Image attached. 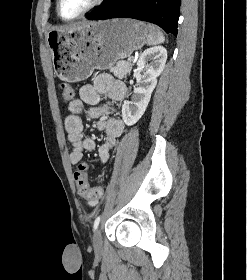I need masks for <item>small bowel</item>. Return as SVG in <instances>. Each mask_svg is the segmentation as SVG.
<instances>
[{"mask_svg":"<svg viewBox=\"0 0 247 280\" xmlns=\"http://www.w3.org/2000/svg\"><path fill=\"white\" fill-rule=\"evenodd\" d=\"M126 85L114 79L109 74H100L92 84H85L79 90V99L71 101L68 105L70 114L64 120V127L73 148L69 154L71 164L81 163L84 151L95 148V140L84 134L82 114L87 111L90 118L97 121L96 127L105 132L103 143L98 149L99 161L104 164L109 159L110 151L116 146L117 139L124 131V123L119 118L111 115L109 106H99L102 95L112 101H121L126 94ZM86 106L88 109L86 110ZM98 200H90V205H95Z\"/></svg>","mask_w":247,"mask_h":280,"instance_id":"obj_1","label":"small bowel"}]
</instances>
